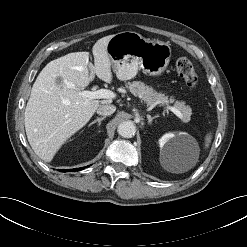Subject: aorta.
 I'll return each instance as SVG.
<instances>
[{"label":"aorta","instance_id":"obj_1","mask_svg":"<svg viewBox=\"0 0 247 247\" xmlns=\"http://www.w3.org/2000/svg\"><path fill=\"white\" fill-rule=\"evenodd\" d=\"M117 132L124 138H131L136 132V127L132 121H123L118 125Z\"/></svg>","mask_w":247,"mask_h":247}]
</instances>
